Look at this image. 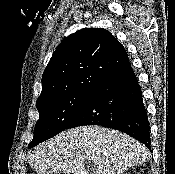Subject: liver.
Here are the masks:
<instances>
[{
  "mask_svg": "<svg viewBox=\"0 0 175 174\" xmlns=\"http://www.w3.org/2000/svg\"><path fill=\"white\" fill-rule=\"evenodd\" d=\"M149 156L148 149L129 135L92 125L63 131L40 144L28 163L37 174H91L86 161L95 164L93 174H123Z\"/></svg>",
  "mask_w": 175,
  "mask_h": 174,
  "instance_id": "obj_1",
  "label": "liver"
}]
</instances>
